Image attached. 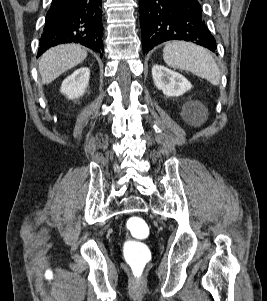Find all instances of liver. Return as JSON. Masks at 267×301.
Here are the masks:
<instances>
[{"instance_id":"liver-1","label":"liver","mask_w":267,"mask_h":301,"mask_svg":"<svg viewBox=\"0 0 267 301\" xmlns=\"http://www.w3.org/2000/svg\"><path fill=\"white\" fill-rule=\"evenodd\" d=\"M87 51L80 45L62 44L47 50L39 60L43 84H49L69 69L84 61Z\"/></svg>"}]
</instances>
